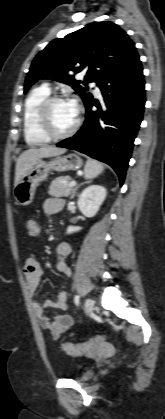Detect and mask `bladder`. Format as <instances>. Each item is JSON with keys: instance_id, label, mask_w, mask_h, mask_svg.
Wrapping results in <instances>:
<instances>
[{"instance_id": "31cf9c89", "label": "bladder", "mask_w": 165, "mask_h": 419, "mask_svg": "<svg viewBox=\"0 0 165 419\" xmlns=\"http://www.w3.org/2000/svg\"><path fill=\"white\" fill-rule=\"evenodd\" d=\"M94 371L91 369H86L82 371L79 375V380L81 381H89L94 377Z\"/></svg>"}]
</instances>
